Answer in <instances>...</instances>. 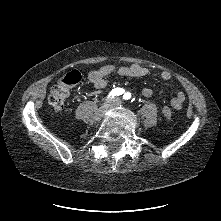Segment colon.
<instances>
[{
    "label": "colon",
    "instance_id": "obj_1",
    "mask_svg": "<svg viewBox=\"0 0 221 221\" xmlns=\"http://www.w3.org/2000/svg\"><path fill=\"white\" fill-rule=\"evenodd\" d=\"M80 79V73L73 70L59 79L57 84L53 86L48 97V102L54 111H61L64 108L65 101L69 96L70 88L76 85ZM162 113L165 117L171 118L174 114V108L164 106L162 108Z\"/></svg>",
    "mask_w": 221,
    "mask_h": 221
}]
</instances>
